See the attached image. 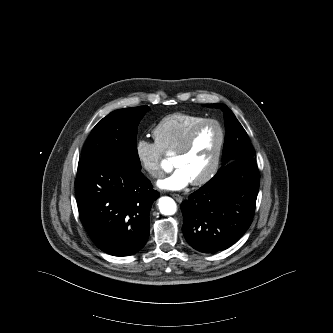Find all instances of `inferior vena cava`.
Here are the masks:
<instances>
[{
  "mask_svg": "<svg viewBox=\"0 0 333 333\" xmlns=\"http://www.w3.org/2000/svg\"><path fill=\"white\" fill-rule=\"evenodd\" d=\"M152 175L155 176V177H158V178H162V177H164V172L163 171H155V172H153Z\"/></svg>",
  "mask_w": 333,
  "mask_h": 333,
  "instance_id": "602c4592",
  "label": "inferior vena cava"
}]
</instances>
